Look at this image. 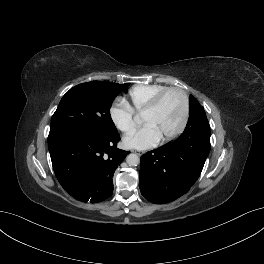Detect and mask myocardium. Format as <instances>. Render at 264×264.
I'll use <instances>...</instances> for the list:
<instances>
[{
    "instance_id": "f54148a6",
    "label": "myocardium",
    "mask_w": 264,
    "mask_h": 264,
    "mask_svg": "<svg viewBox=\"0 0 264 264\" xmlns=\"http://www.w3.org/2000/svg\"><path fill=\"white\" fill-rule=\"evenodd\" d=\"M171 92H177L182 97V103H183L182 119L178 127L173 132L162 137V142H169L175 139L176 137H178L184 131L189 119V109H190L189 98L187 93L179 87H168L162 90L161 92H159L142 112V114H147L156 110L160 105V103L162 102V100L164 99V97Z\"/></svg>"
}]
</instances>
